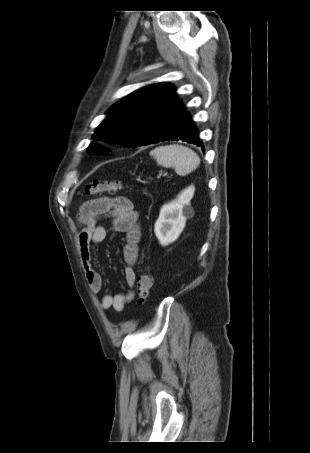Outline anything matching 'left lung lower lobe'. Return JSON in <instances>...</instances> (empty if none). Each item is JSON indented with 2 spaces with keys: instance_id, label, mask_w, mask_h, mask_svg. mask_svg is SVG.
<instances>
[{
  "instance_id": "left-lung-lower-lobe-1",
  "label": "left lung lower lobe",
  "mask_w": 310,
  "mask_h": 453,
  "mask_svg": "<svg viewBox=\"0 0 310 453\" xmlns=\"http://www.w3.org/2000/svg\"><path fill=\"white\" fill-rule=\"evenodd\" d=\"M170 140L186 141L200 146L202 150L204 149V146L199 138V131L197 130L191 116L182 102H180L176 112L174 113L166 133L160 139V141Z\"/></svg>"
}]
</instances>
